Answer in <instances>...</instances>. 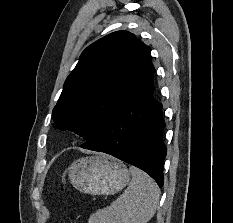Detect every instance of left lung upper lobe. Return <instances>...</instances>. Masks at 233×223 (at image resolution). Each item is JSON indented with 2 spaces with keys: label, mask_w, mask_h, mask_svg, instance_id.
<instances>
[{
  "label": "left lung upper lobe",
  "mask_w": 233,
  "mask_h": 223,
  "mask_svg": "<svg viewBox=\"0 0 233 223\" xmlns=\"http://www.w3.org/2000/svg\"><path fill=\"white\" fill-rule=\"evenodd\" d=\"M150 52L127 31L88 46L64 83L53 127L73 131L88 144L151 72Z\"/></svg>",
  "instance_id": "left-lung-upper-lobe-1"
}]
</instances>
